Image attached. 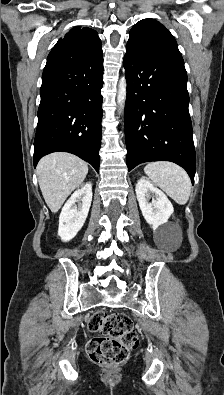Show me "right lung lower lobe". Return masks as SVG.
<instances>
[{"label":"right lung lower lobe","mask_w":224,"mask_h":395,"mask_svg":"<svg viewBox=\"0 0 224 395\" xmlns=\"http://www.w3.org/2000/svg\"><path fill=\"white\" fill-rule=\"evenodd\" d=\"M103 54L91 57L72 42L51 50L42 75L34 140V167L52 152L75 154L99 173Z\"/></svg>","instance_id":"right-lung-lower-lobe-1"}]
</instances>
